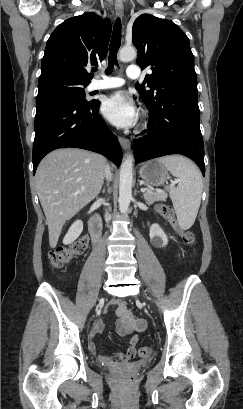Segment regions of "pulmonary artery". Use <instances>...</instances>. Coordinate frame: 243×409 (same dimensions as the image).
Listing matches in <instances>:
<instances>
[{"instance_id": "obj_1", "label": "pulmonary artery", "mask_w": 243, "mask_h": 409, "mask_svg": "<svg viewBox=\"0 0 243 409\" xmlns=\"http://www.w3.org/2000/svg\"><path fill=\"white\" fill-rule=\"evenodd\" d=\"M102 79L93 80L90 85V90H104V89H112L120 87L124 80L119 76H106L104 74H100ZM140 69L138 66L131 65L127 69V76L130 79H139L140 78Z\"/></svg>"}]
</instances>
